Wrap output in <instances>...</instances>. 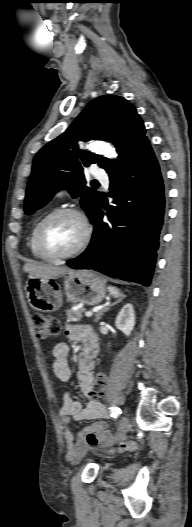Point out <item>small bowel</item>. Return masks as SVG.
Here are the masks:
<instances>
[{
	"mask_svg": "<svg viewBox=\"0 0 192 527\" xmlns=\"http://www.w3.org/2000/svg\"><path fill=\"white\" fill-rule=\"evenodd\" d=\"M66 337L72 342H80L84 345L83 351L78 358L77 379L83 394L89 401L83 406L75 400L71 393L64 395L63 405L59 414L62 422L63 436L67 447V459L75 462L82 456L90 445L104 440L107 427L104 421L108 414L97 398L95 379L92 373L94 358L98 352V340L94 331L86 325H68L65 330ZM69 347L66 343H58L52 349L54 357L53 372L62 382L71 379V370L68 365ZM94 420V423L80 432L77 440L70 430L72 421Z\"/></svg>",
	"mask_w": 192,
	"mask_h": 527,
	"instance_id": "c3829d8e",
	"label": "small bowel"
}]
</instances>
